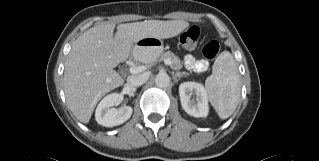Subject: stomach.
I'll list each match as a JSON object with an SVG mask.
<instances>
[{
  "instance_id": "1",
  "label": "stomach",
  "mask_w": 319,
  "mask_h": 161,
  "mask_svg": "<svg viewBox=\"0 0 319 161\" xmlns=\"http://www.w3.org/2000/svg\"><path fill=\"white\" fill-rule=\"evenodd\" d=\"M163 41L154 37L140 39L133 47V56L138 61L151 63L163 52Z\"/></svg>"
}]
</instances>
